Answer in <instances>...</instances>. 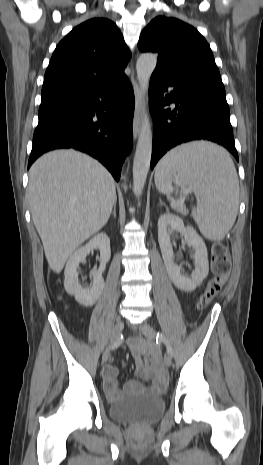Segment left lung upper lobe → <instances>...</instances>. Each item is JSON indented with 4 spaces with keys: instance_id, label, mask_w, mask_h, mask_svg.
<instances>
[{
    "instance_id": "1",
    "label": "left lung upper lobe",
    "mask_w": 263,
    "mask_h": 465,
    "mask_svg": "<svg viewBox=\"0 0 263 465\" xmlns=\"http://www.w3.org/2000/svg\"><path fill=\"white\" fill-rule=\"evenodd\" d=\"M142 52H157L155 71L194 77L224 89L210 46L191 25L176 18L158 16L141 32Z\"/></svg>"
}]
</instances>
